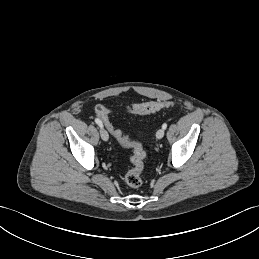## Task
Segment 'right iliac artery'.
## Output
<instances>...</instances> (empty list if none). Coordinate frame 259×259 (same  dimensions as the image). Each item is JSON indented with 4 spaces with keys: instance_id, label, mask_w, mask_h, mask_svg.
Here are the masks:
<instances>
[{
    "instance_id": "1",
    "label": "right iliac artery",
    "mask_w": 259,
    "mask_h": 259,
    "mask_svg": "<svg viewBox=\"0 0 259 259\" xmlns=\"http://www.w3.org/2000/svg\"><path fill=\"white\" fill-rule=\"evenodd\" d=\"M95 123H96L100 128L103 127L102 122H101L98 118L95 119Z\"/></svg>"
}]
</instances>
